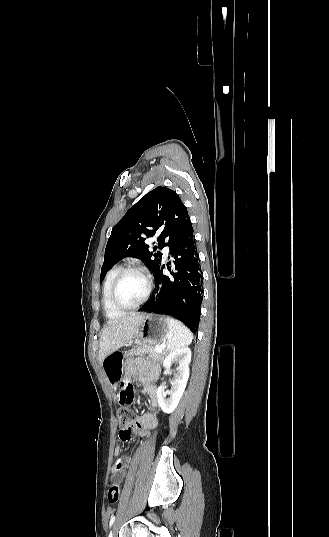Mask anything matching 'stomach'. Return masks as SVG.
Wrapping results in <instances>:
<instances>
[{
  "instance_id": "stomach-1",
  "label": "stomach",
  "mask_w": 329,
  "mask_h": 537,
  "mask_svg": "<svg viewBox=\"0 0 329 537\" xmlns=\"http://www.w3.org/2000/svg\"><path fill=\"white\" fill-rule=\"evenodd\" d=\"M169 336L168 318L154 313L143 315L138 331L133 337L136 344L159 345ZM123 354L114 351L102 362V368L111 384H118L122 378Z\"/></svg>"
}]
</instances>
